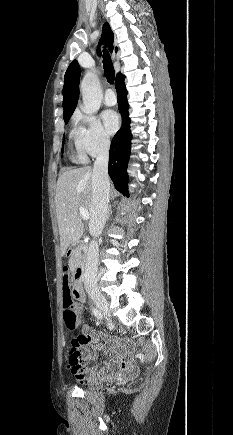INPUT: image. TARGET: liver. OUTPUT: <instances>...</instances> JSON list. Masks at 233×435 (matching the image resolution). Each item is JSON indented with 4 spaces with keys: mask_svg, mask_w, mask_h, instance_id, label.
Here are the masks:
<instances>
[{
    "mask_svg": "<svg viewBox=\"0 0 233 435\" xmlns=\"http://www.w3.org/2000/svg\"><path fill=\"white\" fill-rule=\"evenodd\" d=\"M91 167H81L63 172L56 184L55 206L60 235L61 254L83 234L80 207L91 214L92 201Z\"/></svg>",
    "mask_w": 233,
    "mask_h": 435,
    "instance_id": "liver-1",
    "label": "liver"
}]
</instances>
